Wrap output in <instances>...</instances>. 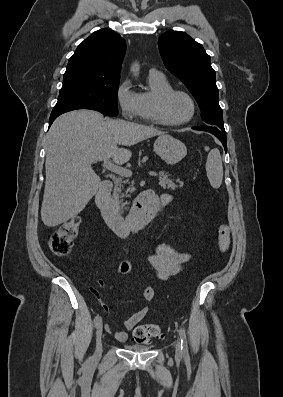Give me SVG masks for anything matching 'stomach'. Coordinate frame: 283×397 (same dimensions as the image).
<instances>
[{
	"instance_id": "1",
	"label": "stomach",
	"mask_w": 283,
	"mask_h": 397,
	"mask_svg": "<svg viewBox=\"0 0 283 397\" xmlns=\"http://www.w3.org/2000/svg\"><path fill=\"white\" fill-rule=\"evenodd\" d=\"M154 152L167 164L174 165L186 156L187 149L180 140L163 134L155 141Z\"/></svg>"
}]
</instances>
